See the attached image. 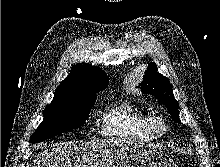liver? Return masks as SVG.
<instances>
[{
  "label": "liver",
  "mask_w": 220,
  "mask_h": 167,
  "mask_svg": "<svg viewBox=\"0 0 220 167\" xmlns=\"http://www.w3.org/2000/svg\"><path fill=\"white\" fill-rule=\"evenodd\" d=\"M130 144L112 139L55 143L35 157L32 167H111Z\"/></svg>",
  "instance_id": "6515ba94"
}]
</instances>
